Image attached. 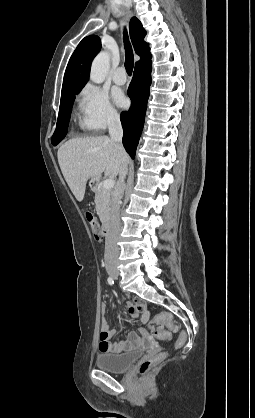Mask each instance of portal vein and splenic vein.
<instances>
[{"label":"portal vein and splenic vein","mask_w":255,"mask_h":418,"mask_svg":"<svg viewBox=\"0 0 255 418\" xmlns=\"http://www.w3.org/2000/svg\"><path fill=\"white\" fill-rule=\"evenodd\" d=\"M115 181L113 178H108L106 180L103 181V187L105 189H111L114 187Z\"/></svg>","instance_id":"obj_1"}]
</instances>
